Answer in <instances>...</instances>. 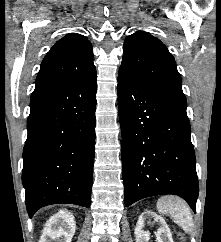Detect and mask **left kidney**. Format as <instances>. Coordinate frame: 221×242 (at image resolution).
<instances>
[{"label":"left kidney","instance_id":"5707ae66","mask_svg":"<svg viewBox=\"0 0 221 242\" xmlns=\"http://www.w3.org/2000/svg\"><path fill=\"white\" fill-rule=\"evenodd\" d=\"M147 219H153L160 226L155 232L157 242H174L165 220L152 211H144L139 216L134 232L136 242H148L150 239L149 231H144V224Z\"/></svg>","mask_w":221,"mask_h":242}]
</instances>
